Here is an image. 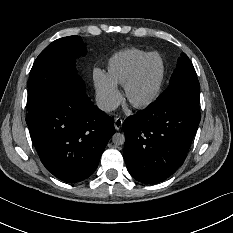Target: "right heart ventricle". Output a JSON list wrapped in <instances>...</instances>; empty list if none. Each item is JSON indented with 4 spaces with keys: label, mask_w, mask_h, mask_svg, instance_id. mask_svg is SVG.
Instances as JSON below:
<instances>
[{
    "label": "right heart ventricle",
    "mask_w": 233,
    "mask_h": 233,
    "mask_svg": "<svg viewBox=\"0 0 233 233\" xmlns=\"http://www.w3.org/2000/svg\"><path fill=\"white\" fill-rule=\"evenodd\" d=\"M149 53V51L138 48H128L116 52L107 61V78L114 85L123 86Z\"/></svg>",
    "instance_id": "right-heart-ventricle-1"
}]
</instances>
